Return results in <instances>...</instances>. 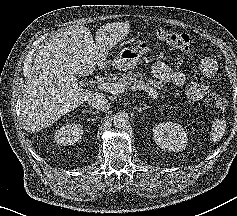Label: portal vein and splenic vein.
<instances>
[{"mask_svg": "<svg viewBox=\"0 0 237 216\" xmlns=\"http://www.w3.org/2000/svg\"><path fill=\"white\" fill-rule=\"evenodd\" d=\"M96 84L99 83V81H95ZM125 84H115V83H109V82H105V83H101L100 86H102L106 91H109L111 94H116L122 91V89L125 88ZM151 92V91H150Z\"/></svg>", "mask_w": 237, "mask_h": 216, "instance_id": "18ae733b", "label": "portal vein and splenic vein"}]
</instances>
